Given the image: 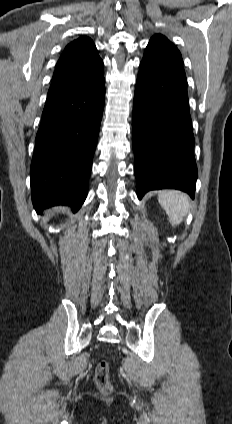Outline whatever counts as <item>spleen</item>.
I'll return each mask as SVG.
<instances>
[{
    "label": "spleen",
    "mask_w": 232,
    "mask_h": 424,
    "mask_svg": "<svg viewBox=\"0 0 232 424\" xmlns=\"http://www.w3.org/2000/svg\"><path fill=\"white\" fill-rule=\"evenodd\" d=\"M158 201L173 225H179L189 210V197L177 190L160 191Z\"/></svg>",
    "instance_id": "3e777b00"
}]
</instances>
